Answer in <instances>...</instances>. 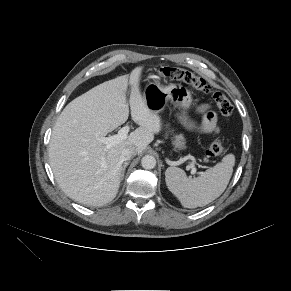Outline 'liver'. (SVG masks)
I'll return each mask as SVG.
<instances>
[{"label":"liver","instance_id":"obj_1","mask_svg":"<svg viewBox=\"0 0 291 291\" xmlns=\"http://www.w3.org/2000/svg\"><path fill=\"white\" fill-rule=\"evenodd\" d=\"M143 67L95 86L72 100L61 112L49 144L50 166L63 192L84 205L100 206L112 201L119 190L125 148L142 153L161 129V119L151 112L140 93ZM131 86V117L140 127L120 143L106 148L105 137L129 116L126 101Z\"/></svg>","mask_w":291,"mask_h":291}]
</instances>
